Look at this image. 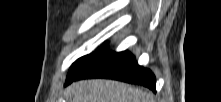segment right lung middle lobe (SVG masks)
<instances>
[{
  "instance_id": "dd1d6c3e",
  "label": "right lung middle lobe",
  "mask_w": 221,
  "mask_h": 102,
  "mask_svg": "<svg viewBox=\"0 0 221 102\" xmlns=\"http://www.w3.org/2000/svg\"><path fill=\"white\" fill-rule=\"evenodd\" d=\"M105 50H106V45H103L98 52L79 58L70 68L68 76L72 75L73 73L85 67L89 62H91L97 56L101 55Z\"/></svg>"
}]
</instances>
